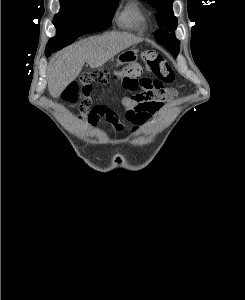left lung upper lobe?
I'll use <instances>...</instances> for the list:
<instances>
[{
	"label": "left lung upper lobe",
	"instance_id": "obj_1",
	"mask_svg": "<svg viewBox=\"0 0 245 300\" xmlns=\"http://www.w3.org/2000/svg\"><path fill=\"white\" fill-rule=\"evenodd\" d=\"M147 2L157 11L158 26L160 29L155 31V39L171 51L173 55L177 56L180 42L175 37L177 18L174 16L172 10L173 0H147Z\"/></svg>",
	"mask_w": 245,
	"mask_h": 300
}]
</instances>
